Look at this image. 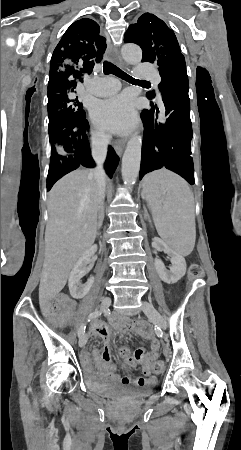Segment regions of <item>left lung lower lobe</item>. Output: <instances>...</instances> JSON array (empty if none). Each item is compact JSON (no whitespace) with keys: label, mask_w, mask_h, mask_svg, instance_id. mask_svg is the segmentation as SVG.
Listing matches in <instances>:
<instances>
[{"label":"left lung lower lobe","mask_w":241,"mask_h":450,"mask_svg":"<svg viewBox=\"0 0 241 450\" xmlns=\"http://www.w3.org/2000/svg\"><path fill=\"white\" fill-rule=\"evenodd\" d=\"M161 96L167 117L165 123L158 122L159 109L153 102L151 109H144L141 114L145 131L140 179L148 172L165 167L182 176L189 184H194L188 86L169 77Z\"/></svg>","instance_id":"left-lung-lower-lobe-1"}]
</instances>
